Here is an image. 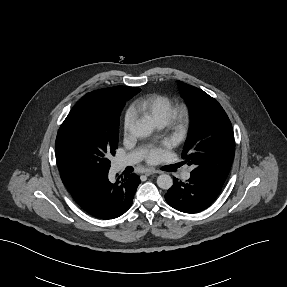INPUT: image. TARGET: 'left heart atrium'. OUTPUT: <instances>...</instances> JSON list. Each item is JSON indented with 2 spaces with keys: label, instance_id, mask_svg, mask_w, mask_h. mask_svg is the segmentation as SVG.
<instances>
[{
  "label": "left heart atrium",
  "instance_id": "left-heart-atrium-1",
  "mask_svg": "<svg viewBox=\"0 0 287 287\" xmlns=\"http://www.w3.org/2000/svg\"><path fill=\"white\" fill-rule=\"evenodd\" d=\"M163 155H164V150L162 148L155 147L148 152L146 158L149 163H156L161 160Z\"/></svg>",
  "mask_w": 287,
  "mask_h": 287
}]
</instances>
